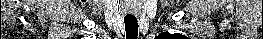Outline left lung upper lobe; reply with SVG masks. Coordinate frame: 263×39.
<instances>
[{"mask_svg":"<svg viewBox=\"0 0 263 39\" xmlns=\"http://www.w3.org/2000/svg\"><path fill=\"white\" fill-rule=\"evenodd\" d=\"M177 34L161 33L156 39H182V37L175 36Z\"/></svg>","mask_w":263,"mask_h":39,"instance_id":"1","label":"left lung upper lobe"}]
</instances>
